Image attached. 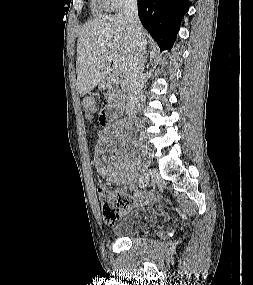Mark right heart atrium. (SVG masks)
I'll return each mask as SVG.
<instances>
[{
    "label": "right heart atrium",
    "mask_w": 253,
    "mask_h": 285,
    "mask_svg": "<svg viewBox=\"0 0 253 285\" xmlns=\"http://www.w3.org/2000/svg\"><path fill=\"white\" fill-rule=\"evenodd\" d=\"M135 0H104L106 6L111 10H120L125 5L132 3Z\"/></svg>",
    "instance_id": "1"
}]
</instances>
